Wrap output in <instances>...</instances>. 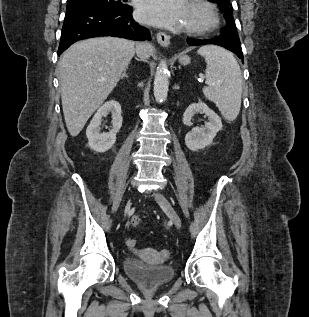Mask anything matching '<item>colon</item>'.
<instances>
[{"mask_svg":"<svg viewBox=\"0 0 309 317\" xmlns=\"http://www.w3.org/2000/svg\"><path fill=\"white\" fill-rule=\"evenodd\" d=\"M141 222V219L140 217L138 216H133L132 219H131V225L132 226H138ZM127 245L130 247V248H134L136 246V240L133 239V238H130L127 240Z\"/></svg>","mask_w":309,"mask_h":317,"instance_id":"1","label":"colon"}]
</instances>
